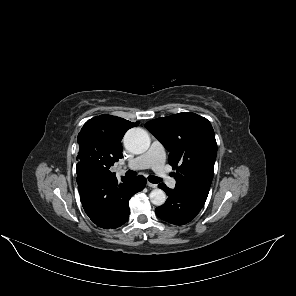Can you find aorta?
<instances>
[{
	"label": "aorta",
	"mask_w": 296,
	"mask_h": 296,
	"mask_svg": "<svg viewBox=\"0 0 296 296\" xmlns=\"http://www.w3.org/2000/svg\"><path fill=\"white\" fill-rule=\"evenodd\" d=\"M125 148L133 154H142L150 146V137L148 133L141 128H132L124 136ZM149 198L152 204L161 206L166 201V194L161 189H154L150 192Z\"/></svg>",
	"instance_id": "762f6f07"
}]
</instances>
